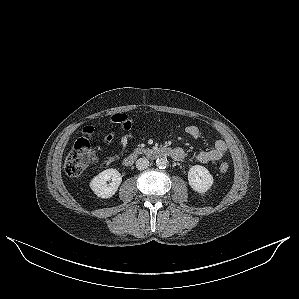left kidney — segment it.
<instances>
[{
	"instance_id": "1",
	"label": "left kidney",
	"mask_w": 299,
	"mask_h": 299,
	"mask_svg": "<svg viewBox=\"0 0 299 299\" xmlns=\"http://www.w3.org/2000/svg\"><path fill=\"white\" fill-rule=\"evenodd\" d=\"M188 181L191 188L198 193H205L213 185V176L201 165L192 166L188 171Z\"/></svg>"
}]
</instances>
